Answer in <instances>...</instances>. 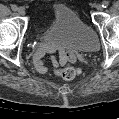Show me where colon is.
Masks as SVG:
<instances>
[{"label":"colon","instance_id":"5ec220e1","mask_svg":"<svg viewBox=\"0 0 119 119\" xmlns=\"http://www.w3.org/2000/svg\"><path fill=\"white\" fill-rule=\"evenodd\" d=\"M56 74L61 76L64 80H72L81 74V69L74 66H67L60 69Z\"/></svg>","mask_w":119,"mask_h":119}]
</instances>
